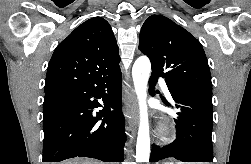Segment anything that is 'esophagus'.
<instances>
[{
    "label": "esophagus",
    "instance_id": "34e87169",
    "mask_svg": "<svg viewBox=\"0 0 251 164\" xmlns=\"http://www.w3.org/2000/svg\"><path fill=\"white\" fill-rule=\"evenodd\" d=\"M129 123L135 128L138 122V109L135 95L133 93L127 96V106H126Z\"/></svg>",
    "mask_w": 251,
    "mask_h": 164
}]
</instances>
